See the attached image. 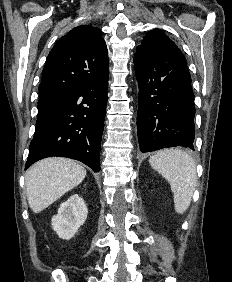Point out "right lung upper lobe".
I'll use <instances>...</instances> for the list:
<instances>
[{"label": "right lung upper lobe", "mask_w": 232, "mask_h": 282, "mask_svg": "<svg viewBox=\"0 0 232 282\" xmlns=\"http://www.w3.org/2000/svg\"><path fill=\"white\" fill-rule=\"evenodd\" d=\"M107 74L108 52L100 29L80 25L64 35L50 51L39 92L61 98L71 88Z\"/></svg>", "instance_id": "1"}]
</instances>
